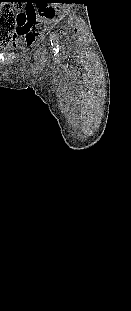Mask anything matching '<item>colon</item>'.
I'll return each mask as SVG.
<instances>
[{
    "instance_id": "obj_1",
    "label": "colon",
    "mask_w": 131,
    "mask_h": 311,
    "mask_svg": "<svg viewBox=\"0 0 131 311\" xmlns=\"http://www.w3.org/2000/svg\"><path fill=\"white\" fill-rule=\"evenodd\" d=\"M35 19V16H26L23 13L15 12L6 7H0V33L6 28L8 29V34L11 33V30L21 21L25 22L26 25H29L32 20Z\"/></svg>"
}]
</instances>
